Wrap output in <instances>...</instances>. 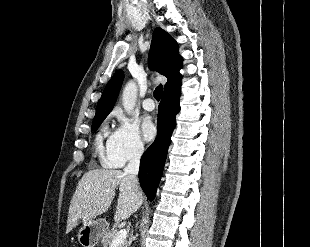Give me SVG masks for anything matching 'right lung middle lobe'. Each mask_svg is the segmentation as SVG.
Returning a JSON list of instances; mask_svg holds the SVG:
<instances>
[{"instance_id": "obj_1", "label": "right lung middle lobe", "mask_w": 310, "mask_h": 247, "mask_svg": "<svg viewBox=\"0 0 310 247\" xmlns=\"http://www.w3.org/2000/svg\"><path fill=\"white\" fill-rule=\"evenodd\" d=\"M106 117H100L92 123V130L95 131L99 128L100 124Z\"/></svg>"}]
</instances>
